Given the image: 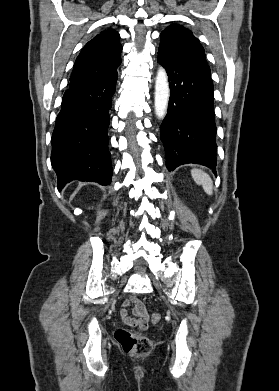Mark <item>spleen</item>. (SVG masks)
<instances>
[{
  "label": "spleen",
  "mask_w": 279,
  "mask_h": 391,
  "mask_svg": "<svg viewBox=\"0 0 279 391\" xmlns=\"http://www.w3.org/2000/svg\"><path fill=\"white\" fill-rule=\"evenodd\" d=\"M191 175L196 184L201 185L208 195L213 193V182L210 176L200 169H192Z\"/></svg>",
  "instance_id": "spleen-1"
}]
</instances>
